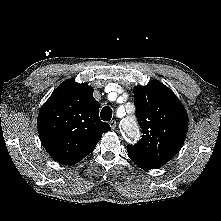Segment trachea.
Listing matches in <instances>:
<instances>
[{"instance_id":"obj_1","label":"trachea","mask_w":221,"mask_h":221,"mask_svg":"<svg viewBox=\"0 0 221 221\" xmlns=\"http://www.w3.org/2000/svg\"><path fill=\"white\" fill-rule=\"evenodd\" d=\"M100 117L104 121H109L112 118V109L108 106L103 107L100 113Z\"/></svg>"}]
</instances>
